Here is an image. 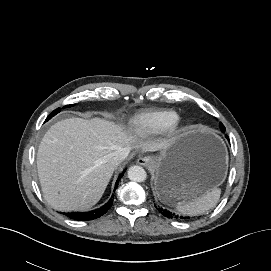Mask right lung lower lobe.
Masks as SVG:
<instances>
[{"label": "right lung lower lobe", "instance_id": "1", "mask_svg": "<svg viewBox=\"0 0 271 271\" xmlns=\"http://www.w3.org/2000/svg\"><path fill=\"white\" fill-rule=\"evenodd\" d=\"M124 171L118 177V180H117V182L115 184V189L117 188L118 182L121 179V177L123 176ZM112 203H113V200L110 199L101 208L95 209L93 211H89V212H71V213H64V214L67 215L69 218L74 219V220H79V221L93 220V219L99 218L100 216H102L103 214H105L107 212V210L112 206Z\"/></svg>", "mask_w": 271, "mask_h": 271}]
</instances>
